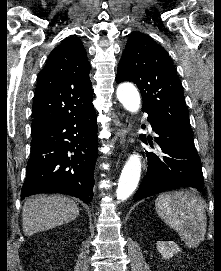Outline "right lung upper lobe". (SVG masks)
<instances>
[{"mask_svg": "<svg viewBox=\"0 0 221 271\" xmlns=\"http://www.w3.org/2000/svg\"><path fill=\"white\" fill-rule=\"evenodd\" d=\"M90 64L79 38H67L38 74L31 131L93 108Z\"/></svg>", "mask_w": 221, "mask_h": 271, "instance_id": "obj_1", "label": "right lung upper lobe"}]
</instances>
